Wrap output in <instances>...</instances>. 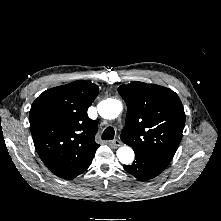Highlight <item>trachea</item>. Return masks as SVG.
<instances>
[{"instance_id": "obj_1", "label": "trachea", "mask_w": 221, "mask_h": 221, "mask_svg": "<svg viewBox=\"0 0 221 221\" xmlns=\"http://www.w3.org/2000/svg\"><path fill=\"white\" fill-rule=\"evenodd\" d=\"M115 131L112 127H107L103 134H102V139L103 140H112L114 138Z\"/></svg>"}]
</instances>
